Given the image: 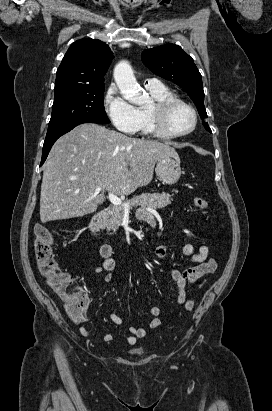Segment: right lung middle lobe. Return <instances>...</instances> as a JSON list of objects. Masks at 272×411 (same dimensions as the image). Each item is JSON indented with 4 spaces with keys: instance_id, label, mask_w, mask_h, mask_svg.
<instances>
[{
    "instance_id": "right-lung-middle-lobe-1",
    "label": "right lung middle lobe",
    "mask_w": 272,
    "mask_h": 411,
    "mask_svg": "<svg viewBox=\"0 0 272 411\" xmlns=\"http://www.w3.org/2000/svg\"><path fill=\"white\" fill-rule=\"evenodd\" d=\"M103 93L104 85L55 92L47 135L82 121L109 123Z\"/></svg>"
}]
</instances>
